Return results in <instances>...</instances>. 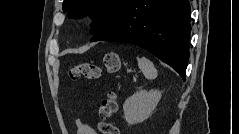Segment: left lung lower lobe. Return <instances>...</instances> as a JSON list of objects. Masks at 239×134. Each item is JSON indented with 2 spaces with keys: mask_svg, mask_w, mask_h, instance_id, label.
Here are the masks:
<instances>
[{
  "mask_svg": "<svg viewBox=\"0 0 239 134\" xmlns=\"http://www.w3.org/2000/svg\"><path fill=\"white\" fill-rule=\"evenodd\" d=\"M190 13L188 0H126L115 20L91 41L139 46L170 65L185 80Z\"/></svg>",
  "mask_w": 239,
  "mask_h": 134,
  "instance_id": "obj_1",
  "label": "left lung lower lobe"
}]
</instances>
